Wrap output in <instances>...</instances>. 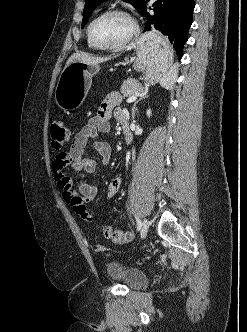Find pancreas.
I'll use <instances>...</instances> for the list:
<instances>
[{"label": "pancreas", "mask_w": 247, "mask_h": 332, "mask_svg": "<svg viewBox=\"0 0 247 332\" xmlns=\"http://www.w3.org/2000/svg\"><path fill=\"white\" fill-rule=\"evenodd\" d=\"M144 87L135 79L125 81L121 86L122 98L131 97L143 92Z\"/></svg>", "instance_id": "1"}]
</instances>
